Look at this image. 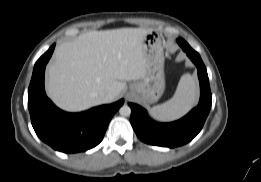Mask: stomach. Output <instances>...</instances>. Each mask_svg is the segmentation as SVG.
Returning a JSON list of instances; mask_svg holds the SVG:
<instances>
[{
	"instance_id": "obj_1",
	"label": "stomach",
	"mask_w": 261,
	"mask_h": 182,
	"mask_svg": "<svg viewBox=\"0 0 261 182\" xmlns=\"http://www.w3.org/2000/svg\"><path fill=\"white\" fill-rule=\"evenodd\" d=\"M146 75L130 86L133 96L143 104H153L165 90L164 51L157 32L148 33L142 44Z\"/></svg>"
}]
</instances>
